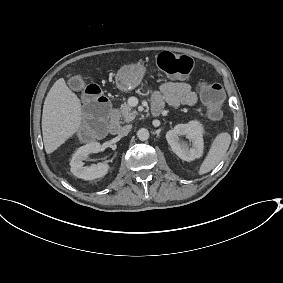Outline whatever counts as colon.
Instances as JSON below:
<instances>
[{
    "label": "colon",
    "mask_w": 283,
    "mask_h": 283,
    "mask_svg": "<svg viewBox=\"0 0 283 283\" xmlns=\"http://www.w3.org/2000/svg\"><path fill=\"white\" fill-rule=\"evenodd\" d=\"M194 60L185 55H175L163 52L157 57L158 68L174 77L187 76L194 69ZM201 101L212 119L221 116L225 99L223 87L216 81L199 80ZM82 101L85 109V119L81 124L80 133L89 138L99 134L105 127V120L110 112L108 99L99 86L89 84L85 87Z\"/></svg>",
    "instance_id": "obj_1"
}]
</instances>
